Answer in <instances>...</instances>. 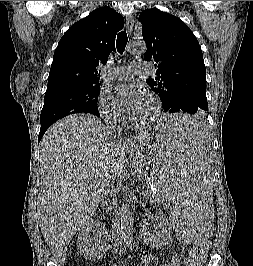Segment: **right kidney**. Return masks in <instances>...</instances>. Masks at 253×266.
<instances>
[{
	"instance_id": "right-kidney-1",
	"label": "right kidney",
	"mask_w": 253,
	"mask_h": 266,
	"mask_svg": "<svg viewBox=\"0 0 253 266\" xmlns=\"http://www.w3.org/2000/svg\"><path fill=\"white\" fill-rule=\"evenodd\" d=\"M108 230L97 223L89 220L78 233L77 246L86 259H100L108 250Z\"/></svg>"
}]
</instances>
